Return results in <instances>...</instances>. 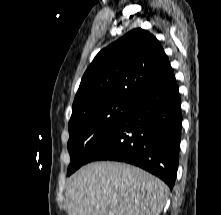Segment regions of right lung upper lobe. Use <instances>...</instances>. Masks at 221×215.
<instances>
[{"instance_id": "right-lung-upper-lobe-1", "label": "right lung upper lobe", "mask_w": 221, "mask_h": 215, "mask_svg": "<svg viewBox=\"0 0 221 215\" xmlns=\"http://www.w3.org/2000/svg\"><path fill=\"white\" fill-rule=\"evenodd\" d=\"M174 77L160 42L136 28L96 55L82 77L73 107L106 100L134 102Z\"/></svg>"}]
</instances>
